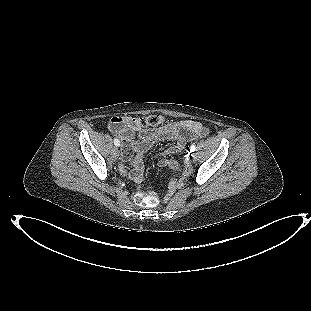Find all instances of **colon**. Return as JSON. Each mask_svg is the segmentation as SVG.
<instances>
[{
    "mask_svg": "<svg viewBox=\"0 0 311 311\" xmlns=\"http://www.w3.org/2000/svg\"><path fill=\"white\" fill-rule=\"evenodd\" d=\"M163 121L162 116L160 115H150L140 119V123L142 126H158ZM115 126L118 127L119 123H115ZM170 168H173L171 164L167 165ZM136 203L142 207H156L160 203V198L155 193H139L135 198Z\"/></svg>",
    "mask_w": 311,
    "mask_h": 311,
    "instance_id": "colon-1",
    "label": "colon"
}]
</instances>
